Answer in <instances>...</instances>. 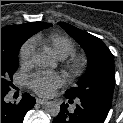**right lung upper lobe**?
I'll return each mask as SVG.
<instances>
[{
  "mask_svg": "<svg viewBox=\"0 0 123 123\" xmlns=\"http://www.w3.org/2000/svg\"><path fill=\"white\" fill-rule=\"evenodd\" d=\"M50 23L45 22H31L21 25H9L1 28V46L11 43V41L25 31H40L46 27H50ZM35 32V33H36Z\"/></svg>",
  "mask_w": 123,
  "mask_h": 123,
  "instance_id": "right-lung-upper-lobe-1",
  "label": "right lung upper lobe"
}]
</instances>
